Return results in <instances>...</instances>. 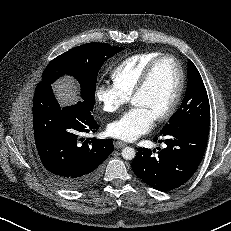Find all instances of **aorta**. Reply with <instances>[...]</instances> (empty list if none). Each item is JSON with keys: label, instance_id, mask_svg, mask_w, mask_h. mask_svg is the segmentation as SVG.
I'll return each mask as SVG.
<instances>
[{"label": "aorta", "instance_id": "762f6f07", "mask_svg": "<svg viewBox=\"0 0 231 231\" xmlns=\"http://www.w3.org/2000/svg\"><path fill=\"white\" fill-rule=\"evenodd\" d=\"M122 157L125 159V160H132L135 158V150L131 147H125L123 150H122Z\"/></svg>", "mask_w": 231, "mask_h": 231}]
</instances>
